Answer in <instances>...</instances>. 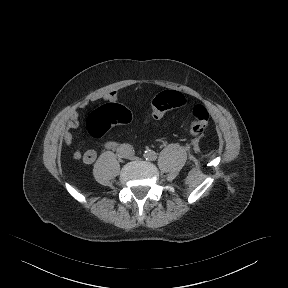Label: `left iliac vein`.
<instances>
[{
  "label": "left iliac vein",
  "instance_id": "1",
  "mask_svg": "<svg viewBox=\"0 0 288 288\" xmlns=\"http://www.w3.org/2000/svg\"><path fill=\"white\" fill-rule=\"evenodd\" d=\"M133 159L138 160L139 158L135 157V158H133Z\"/></svg>",
  "mask_w": 288,
  "mask_h": 288
}]
</instances>
